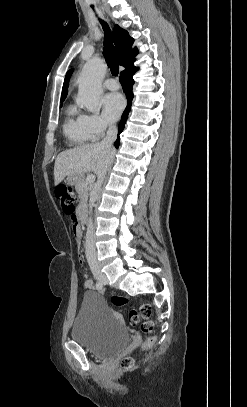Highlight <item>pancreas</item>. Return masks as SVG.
Returning <instances> with one entry per match:
<instances>
[{"label":"pancreas","mask_w":247,"mask_h":407,"mask_svg":"<svg viewBox=\"0 0 247 407\" xmlns=\"http://www.w3.org/2000/svg\"><path fill=\"white\" fill-rule=\"evenodd\" d=\"M92 188V184L82 180L75 185L76 192L79 195L80 207H85L87 205L89 192Z\"/></svg>","instance_id":"1"}]
</instances>
